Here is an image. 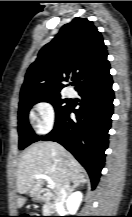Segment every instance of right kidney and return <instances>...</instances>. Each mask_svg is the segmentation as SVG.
Returning a JSON list of instances; mask_svg holds the SVG:
<instances>
[{
  "instance_id": "obj_1",
  "label": "right kidney",
  "mask_w": 132,
  "mask_h": 217,
  "mask_svg": "<svg viewBox=\"0 0 132 217\" xmlns=\"http://www.w3.org/2000/svg\"><path fill=\"white\" fill-rule=\"evenodd\" d=\"M82 197L83 195L80 191L74 192L68 197L66 207L71 215H74L77 212L81 204Z\"/></svg>"
}]
</instances>
